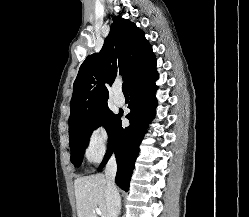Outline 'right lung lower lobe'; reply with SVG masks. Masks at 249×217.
I'll return each instance as SVG.
<instances>
[{
    "instance_id": "98d812e1",
    "label": "right lung lower lobe",
    "mask_w": 249,
    "mask_h": 217,
    "mask_svg": "<svg viewBox=\"0 0 249 217\" xmlns=\"http://www.w3.org/2000/svg\"><path fill=\"white\" fill-rule=\"evenodd\" d=\"M157 78L156 59L153 56L128 86L131 97L128 108L131 109V112L126 115V118L130 121V125L126 128L122 127V113H119L108 134V149L98 169H102L112 152H115L118 164L115 182L125 191L129 188L130 178L139 152V145L146 133V127L154 117L157 105L155 98V92L158 88L155 84Z\"/></svg>"
}]
</instances>
